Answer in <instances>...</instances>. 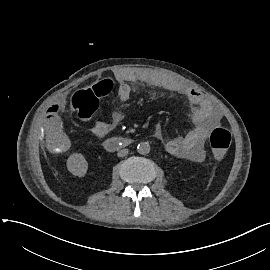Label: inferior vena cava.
I'll return each instance as SVG.
<instances>
[{
    "mask_svg": "<svg viewBox=\"0 0 270 270\" xmlns=\"http://www.w3.org/2000/svg\"><path fill=\"white\" fill-rule=\"evenodd\" d=\"M128 154V149H122L117 153L118 157H124Z\"/></svg>",
    "mask_w": 270,
    "mask_h": 270,
    "instance_id": "obj_1",
    "label": "inferior vena cava"
}]
</instances>
